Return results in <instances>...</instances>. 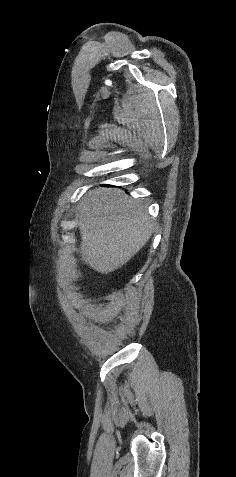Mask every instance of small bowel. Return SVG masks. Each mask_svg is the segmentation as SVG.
<instances>
[{
    "instance_id": "obj_1",
    "label": "small bowel",
    "mask_w": 236,
    "mask_h": 477,
    "mask_svg": "<svg viewBox=\"0 0 236 477\" xmlns=\"http://www.w3.org/2000/svg\"><path fill=\"white\" fill-rule=\"evenodd\" d=\"M73 307H74L75 309H78V308H79V304H78V303H73Z\"/></svg>"
}]
</instances>
